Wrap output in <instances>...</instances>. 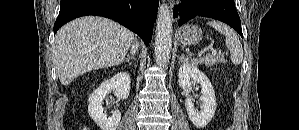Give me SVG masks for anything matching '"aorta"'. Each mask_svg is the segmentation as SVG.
I'll list each match as a JSON object with an SVG mask.
<instances>
[{
	"instance_id": "762f6f07",
	"label": "aorta",
	"mask_w": 299,
	"mask_h": 130,
	"mask_svg": "<svg viewBox=\"0 0 299 130\" xmlns=\"http://www.w3.org/2000/svg\"><path fill=\"white\" fill-rule=\"evenodd\" d=\"M172 50V17L167 4L159 7L156 24L155 56L159 66L169 63Z\"/></svg>"
}]
</instances>
